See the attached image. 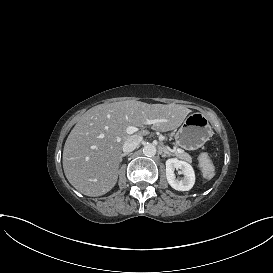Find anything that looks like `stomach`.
I'll return each mask as SVG.
<instances>
[{
    "mask_svg": "<svg viewBox=\"0 0 273 273\" xmlns=\"http://www.w3.org/2000/svg\"><path fill=\"white\" fill-rule=\"evenodd\" d=\"M213 132L203 113L188 115L175 134L176 144L185 150H195L210 139Z\"/></svg>",
    "mask_w": 273,
    "mask_h": 273,
    "instance_id": "stomach-1",
    "label": "stomach"
}]
</instances>
